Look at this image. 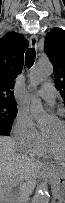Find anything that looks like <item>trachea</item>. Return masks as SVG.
Returning a JSON list of instances; mask_svg holds the SVG:
<instances>
[{
    "label": "trachea",
    "instance_id": "trachea-1",
    "mask_svg": "<svg viewBox=\"0 0 65 203\" xmlns=\"http://www.w3.org/2000/svg\"><path fill=\"white\" fill-rule=\"evenodd\" d=\"M36 58V52L34 48L27 49L25 53V63L27 67H31L34 64Z\"/></svg>",
    "mask_w": 65,
    "mask_h": 203
}]
</instances>
